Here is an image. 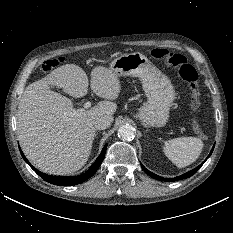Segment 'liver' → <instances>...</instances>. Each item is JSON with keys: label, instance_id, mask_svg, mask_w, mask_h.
Wrapping results in <instances>:
<instances>
[{"label": "liver", "instance_id": "obj_1", "mask_svg": "<svg viewBox=\"0 0 233 233\" xmlns=\"http://www.w3.org/2000/svg\"><path fill=\"white\" fill-rule=\"evenodd\" d=\"M89 86L85 71L66 64L53 70L23 92L17 114V131L23 152L39 170L53 175H66L81 169L87 162L96 136L94 121L101 115L112 116L121 84L109 68L96 66L91 71L90 87L105 99L90 110L73 116V102L50 87L80 98Z\"/></svg>", "mask_w": 233, "mask_h": 233}]
</instances>
